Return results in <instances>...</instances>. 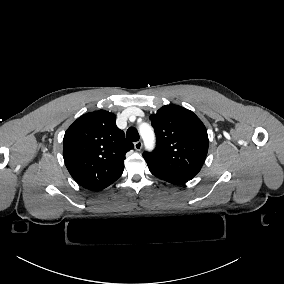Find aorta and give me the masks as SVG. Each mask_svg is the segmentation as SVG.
Returning <instances> with one entry per match:
<instances>
[{
    "label": "aorta",
    "instance_id": "762f6f07",
    "mask_svg": "<svg viewBox=\"0 0 284 284\" xmlns=\"http://www.w3.org/2000/svg\"><path fill=\"white\" fill-rule=\"evenodd\" d=\"M139 130L143 138L145 147L151 150L154 147V143H155V135H154L152 127L148 124H142L139 127Z\"/></svg>",
    "mask_w": 284,
    "mask_h": 284
}]
</instances>
